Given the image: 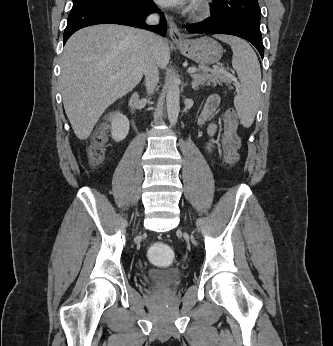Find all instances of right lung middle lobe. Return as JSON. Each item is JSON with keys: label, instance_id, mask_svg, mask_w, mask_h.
Returning a JSON list of instances; mask_svg holds the SVG:
<instances>
[{"label": "right lung middle lobe", "instance_id": "dd1d6c3e", "mask_svg": "<svg viewBox=\"0 0 333 346\" xmlns=\"http://www.w3.org/2000/svg\"><path fill=\"white\" fill-rule=\"evenodd\" d=\"M94 1H106V0H73V7H76L78 5H81V4H84V3H87V2H94ZM111 1H117V2H121V3H128L131 0H111Z\"/></svg>", "mask_w": 333, "mask_h": 346}]
</instances>
